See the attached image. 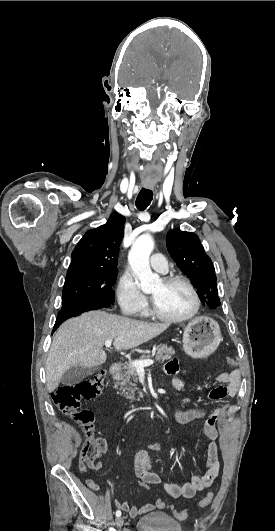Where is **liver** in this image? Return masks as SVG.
<instances>
[{"instance_id":"obj_1","label":"liver","mask_w":275,"mask_h":531,"mask_svg":"<svg viewBox=\"0 0 275 531\" xmlns=\"http://www.w3.org/2000/svg\"><path fill=\"white\" fill-rule=\"evenodd\" d=\"M169 323H144L105 311H89L59 327L46 361V387L57 389L70 367H98L106 363L105 341H114L117 351L134 349L168 329ZM120 339V341H116Z\"/></svg>"}]
</instances>
